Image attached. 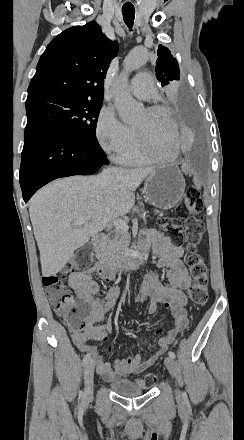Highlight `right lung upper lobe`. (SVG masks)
<instances>
[{
    "instance_id": "obj_1",
    "label": "right lung upper lobe",
    "mask_w": 244,
    "mask_h": 440,
    "mask_svg": "<svg viewBox=\"0 0 244 440\" xmlns=\"http://www.w3.org/2000/svg\"><path fill=\"white\" fill-rule=\"evenodd\" d=\"M118 45L94 21L56 36L42 54L27 99L66 96L103 99L104 77Z\"/></svg>"
}]
</instances>
